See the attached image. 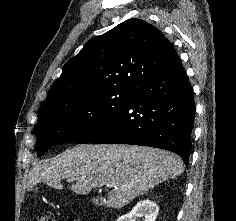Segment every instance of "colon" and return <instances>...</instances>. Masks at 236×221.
Returning a JSON list of instances; mask_svg holds the SVG:
<instances>
[{"label":"colon","mask_w":236,"mask_h":221,"mask_svg":"<svg viewBox=\"0 0 236 221\" xmlns=\"http://www.w3.org/2000/svg\"><path fill=\"white\" fill-rule=\"evenodd\" d=\"M33 221H56V218L53 213L47 212L42 215L40 218L34 219ZM67 221H78L76 218H70Z\"/></svg>","instance_id":"5ec220e1"}]
</instances>
